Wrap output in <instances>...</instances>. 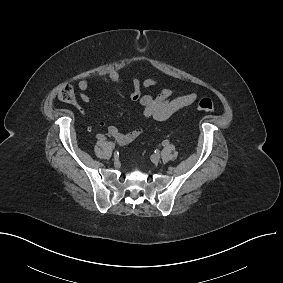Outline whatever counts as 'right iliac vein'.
<instances>
[{"label": "right iliac vein", "instance_id": "right-iliac-vein-1", "mask_svg": "<svg viewBox=\"0 0 283 283\" xmlns=\"http://www.w3.org/2000/svg\"><path fill=\"white\" fill-rule=\"evenodd\" d=\"M108 145H109V147L112 148V149L115 148V145H114V143H112V142H109Z\"/></svg>", "mask_w": 283, "mask_h": 283}]
</instances>
